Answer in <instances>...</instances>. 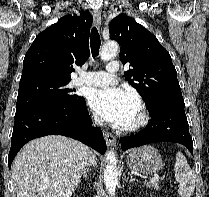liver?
Masks as SVG:
<instances>
[{
    "label": "liver",
    "instance_id": "1",
    "mask_svg": "<svg viewBox=\"0 0 209 197\" xmlns=\"http://www.w3.org/2000/svg\"><path fill=\"white\" fill-rule=\"evenodd\" d=\"M95 157L93 152L91 153ZM88 147L48 135L28 142L12 164L17 197H71L86 166Z\"/></svg>",
    "mask_w": 209,
    "mask_h": 197
}]
</instances>
